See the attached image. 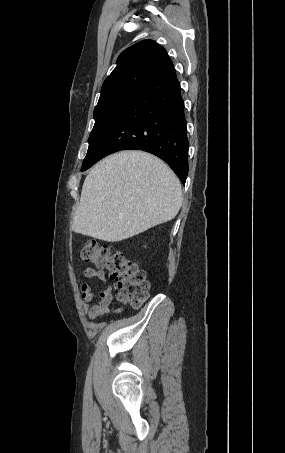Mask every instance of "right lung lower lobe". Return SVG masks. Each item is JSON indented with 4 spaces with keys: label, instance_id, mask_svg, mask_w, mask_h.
<instances>
[{
    "label": "right lung lower lobe",
    "instance_id": "obj_1",
    "mask_svg": "<svg viewBox=\"0 0 285 453\" xmlns=\"http://www.w3.org/2000/svg\"><path fill=\"white\" fill-rule=\"evenodd\" d=\"M188 148L184 101L176 70L171 67L134 93L86 170L111 153L137 149L164 160L185 184Z\"/></svg>",
    "mask_w": 285,
    "mask_h": 453
}]
</instances>
